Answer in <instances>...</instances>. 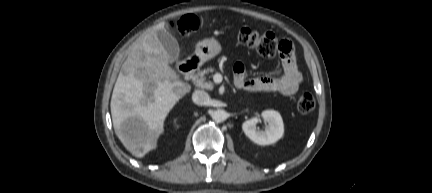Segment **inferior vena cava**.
Returning a JSON list of instances; mask_svg holds the SVG:
<instances>
[{"mask_svg":"<svg viewBox=\"0 0 432 193\" xmlns=\"http://www.w3.org/2000/svg\"><path fill=\"white\" fill-rule=\"evenodd\" d=\"M192 100L197 105H207L209 103L210 97L207 92L203 90H195L192 94Z\"/></svg>","mask_w":432,"mask_h":193,"instance_id":"inferior-vena-cava-1","label":"inferior vena cava"}]
</instances>
